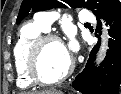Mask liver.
<instances>
[{"label":"liver","instance_id":"obj_1","mask_svg":"<svg viewBox=\"0 0 121 94\" xmlns=\"http://www.w3.org/2000/svg\"><path fill=\"white\" fill-rule=\"evenodd\" d=\"M28 94H32V93H28ZM35 94H62L61 91H56V90H49V91H42V92H38Z\"/></svg>","mask_w":121,"mask_h":94}]
</instances>
